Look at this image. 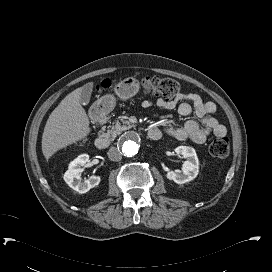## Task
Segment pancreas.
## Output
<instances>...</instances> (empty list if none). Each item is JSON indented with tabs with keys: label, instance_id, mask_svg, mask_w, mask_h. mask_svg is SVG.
<instances>
[{
	"label": "pancreas",
	"instance_id": "obj_1",
	"mask_svg": "<svg viewBox=\"0 0 272 272\" xmlns=\"http://www.w3.org/2000/svg\"><path fill=\"white\" fill-rule=\"evenodd\" d=\"M134 125L130 124L127 120L115 121V124L107 131L112 139H115L117 135L121 134L123 131L131 129Z\"/></svg>",
	"mask_w": 272,
	"mask_h": 272
}]
</instances>
